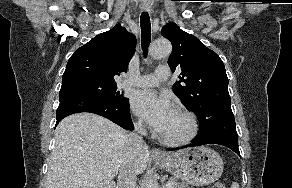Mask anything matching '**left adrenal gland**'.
<instances>
[{
	"label": "left adrenal gland",
	"instance_id": "obj_1",
	"mask_svg": "<svg viewBox=\"0 0 292 188\" xmlns=\"http://www.w3.org/2000/svg\"><path fill=\"white\" fill-rule=\"evenodd\" d=\"M162 188H166L165 184H163Z\"/></svg>",
	"mask_w": 292,
	"mask_h": 188
}]
</instances>
